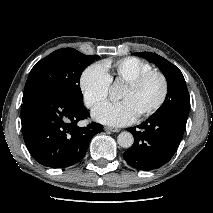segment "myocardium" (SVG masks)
<instances>
[{"mask_svg":"<svg viewBox=\"0 0 213 213\" xmlns=\"http://www.w3.org/2000/svg\"><path fill=\"white\" fill-rule=\"evenodd\" d=\"M153 76H156L160 79L162 84V92L159 98L157 99V101L153 105H151L150 107H148L147 109H145L144 111H142L141 113L137 115L139 118H144V117L152 115L164 104L169 92V84H168L167 77L161 71L149 70L139 74L138 76L132 78L131 80L125 83V86L127 87L137 88L141 84H143L148 78Z\"/></svg>","mask_w":213,"mask_h":213,"instance_id":"f54148a6","label":"myocardium"}]
</instances>
